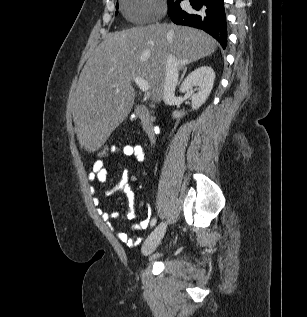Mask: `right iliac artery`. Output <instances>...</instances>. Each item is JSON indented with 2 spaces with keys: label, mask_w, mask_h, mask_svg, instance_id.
Returning a JSON list of instances; mask_svg holds the SVG:
<instances>
[{
  "label": "right iliac artery",
  "mask_w": 307,
  "mask_h": 317,
  "mask_svg": "<svg viewBox=\"0 0 307 317\" xmlns=\"http://www.w3.org/2000/svg\"><path fill=\"white\" fill-rule=\"evenodd\" d=\"M155 224H156V219H153V220L151 221V226L153 227Z\"/></svg>",
  "instance_id": "1"
}]
</instances>
